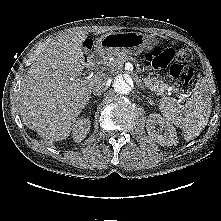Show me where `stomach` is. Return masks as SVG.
<instances>
[{"label": "stomach", "mask_w": 221, "mask_h": 221, "mask_svg": "<svg viewBox=\"0 0 221 221\" xmlns=\"http://www.w3.org/2000/svg\"><path fill=\"white\" fill-rule=\"evenodd\" d=\"M156 39L138 32H111L101 36L96 43L99 53L108 55L125 53L137 55L151 49Z\"/></svg>", "instance_id": "1"}]
</instances>
